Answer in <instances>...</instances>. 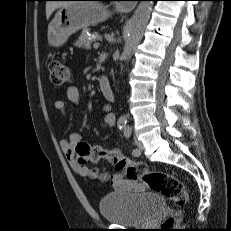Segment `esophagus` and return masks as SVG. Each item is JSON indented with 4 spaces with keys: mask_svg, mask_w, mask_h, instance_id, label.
I'll return each instance as SVG.
<instances>
[{
    "mask_svg": "<svg viewBox=\"0 0 231 231\" xmlns=\"http://www.w3.org/2000/svg\"><path fill=\"white\" fill-rule=\"evenodd\" d=\"M119 7L126 10V11H131L134 8V5L121 3V4H119Z\"/></svg>",
    "mask_w": 231,
    "mask_h": 231,
    "instance_id": "1",
    "label": "esophagus"
}]
</instances>
